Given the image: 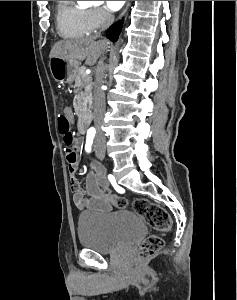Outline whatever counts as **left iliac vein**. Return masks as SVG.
Wrapping results in <instances>:
<instances>
[{"mask_svg": "<svg viewBox=\"0 0 237 300\" xmlns=\"http://www.w3.org/2000/svg\"><path fill=\"white\" fill-rule=\"evenodd\" d=\"M96 156H97L98 159L104 160V158H105V150H103L102 152H98L96 150Z\"/></svg>", "mask_w": 237, "mask_h": 300, "instance_id": "4c4485c4", "label": "left iliac vein"}]
</instances>
